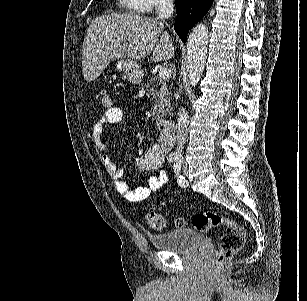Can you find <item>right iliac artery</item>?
<instances>
[{
  "label": "right iliac artery",
  "mask_w": 307,
  "mask_h": 301,
  "mask_svg": "<svg viewBox=\"0 0 307 301\" xmlns=\"http://www.w3.org/2000/svg\"><path fill=\"white\" fill-rule=\"evenodd\" d=\"M167 159L169 162H173V161L176 162L177 160H179L176 154H170Z\"/></svg>",
  "instance_id": "82829eb1"
}]
</instances>
